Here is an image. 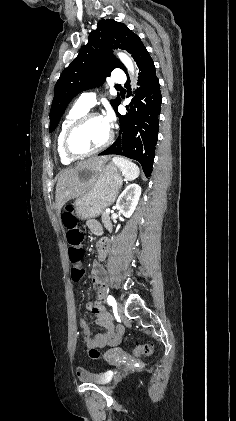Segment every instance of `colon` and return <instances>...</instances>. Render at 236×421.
<instances>
[{
	"instance_id": "colon-1",
	"label": "colon",
	"mask_w": 236,
	"mask_h": 421,
	"mask_svg": "<svg viewBox=\"0 0 236 421\" xmlns=\"http://www.w3.org/2000/svg\"><path fill=\"white\" fill-rule=\"evenodd\" d=\"M62 223L67 230V242H68V253L70 261L75 265L71 270V276L73 281H79L83 274V268L78 266V263L82 260L84 255V250L82 248V243L84 235L82 231L78 228L77 218L74 214L73 207L67 206L64 212L61 215ZM154 345L152 343L140 344L137 345L133 350V356H150L154 352ZM88 355L92 359H98L100 357V352L94 348L88 350Z\"/></svg>"
}]
</instances>
